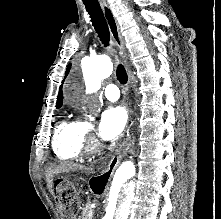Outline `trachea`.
<instances>
[{
	"label": "trachea",
	"mask_w": 221,
	"mask_h": 219,
	"mask_svg": "<svg viewBox=\"0 0 221 219\" xmlns=\"http://www.w3.org/2000/svg\"><path fill=\"white\" fill-rule=\"evenodd\" d=\"M84 5L86 11L90 15L92 25L94 26V29L98 34V37L100 38L101 42L104 44L105 47L109 46L110 42L109 28L99 3L84 2ZM116 76L121 84H126L128 77L126 70L122 64H119L117 66Z\"/></svg>",
	"instance_id": "obj_1"
}]
</instances>
